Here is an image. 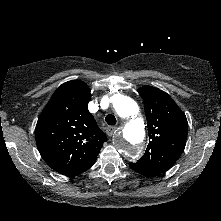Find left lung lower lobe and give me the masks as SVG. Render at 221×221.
<instances>
[{"label": "left lung lower lobe", "mask_w": 221, "mask_h": 221, "mask_svg": "<svg viewBox=\"0 0 221 221\" xmlns=\"http://www.w3.org/2000/svg\"><path fill=\"white\" fill-rule=\"evenodd\" d=\"M129 166L130 168H132L134 171L144 175V176H147V177H150V176H155L157 174H155L153 171L149 170L148 168H146L145 166L143 165H140L138 163H129Z\"/></svg>", "instance_id": "1"}]
</instances>
